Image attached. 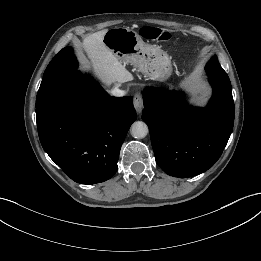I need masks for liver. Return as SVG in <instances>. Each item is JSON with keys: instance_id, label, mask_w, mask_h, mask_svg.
Returning a JSON list of instances; mask_svg holds the SVG:
<instances>
[{"instance_id": "1", "label": "liver", "mask_w": 261, "mask_h": 261, "mask_svg": "<svg viewBox=\"0 0 261 261\" xmlns=\"http://www.w3.org/2000/svg\"><path fill=\"white\" fill-rule=\"evenodd\" d=\"M107 30H101L84 38L82 46L95 75L106 85L131 81L133 75L118 58L104 45L103 37Z\"/></svg>"}]
</instances>
